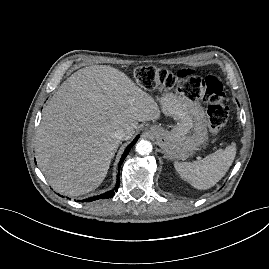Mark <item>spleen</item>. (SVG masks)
Listing matches in <instances>:
<instances>
[{"mask_svg":"<svg viewBox=\"0 0 269 269\" xmlns=\"http://www.w3.org/2000/svg\"><path fill=\"white\" fill-rule=\"evenodd\" d=\"M236 155L235 143L218 149L194 162H174L179 175L193 187L205 190L213 187L227 173Z\"/></svg>","mask_w":269,"mask_h":269,"instance_id":"1","label":"spleen"}]
</instances>
